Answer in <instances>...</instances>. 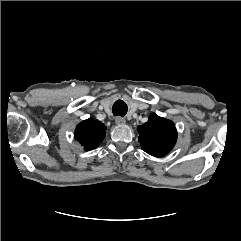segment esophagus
Segmentation results:
<instances>
[{
  "label": "esophagus",
  "instance_id": "34e87169",
  "mask_svg": "<svg viewBox=\"0 0 241 241\" xmlns=\"http://www.w3.org/2000/svg\"><path fill=\"white\" fill-rule=\"evenodd\" d=\"M115 122H116V124H118V125H124V124L126 123V120H125V118H123V117L117 116V117L115 118Z\"/></svg>",
  "mask_w": 241,
  "mask_h": 241
}]
</instances>
